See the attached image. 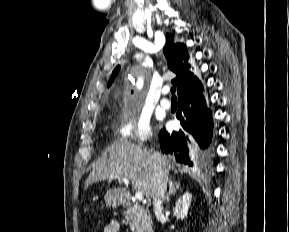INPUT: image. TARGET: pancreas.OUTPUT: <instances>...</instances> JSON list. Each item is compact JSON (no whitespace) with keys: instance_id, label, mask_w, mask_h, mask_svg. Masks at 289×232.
I'll use <instances>...</instances> for the list:
<instances>
[{"instance_id":"1","label":"pancreas","mask_w":289,"mask_h":232,"mask_svg":"<svg viewBox=\"0 0 289 232\" xmlns=\"http://www.w3.org/2000/svg\"><path fill=\"white\" fill-rule=\"evenodd\" d=\"M125 219L129 221L130 229L136 232H149L151 230L152 221L147 210L138 205L129 207L124 212Z\"/></svg>"}]
</instances>
